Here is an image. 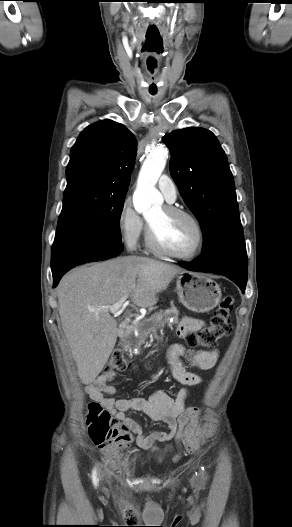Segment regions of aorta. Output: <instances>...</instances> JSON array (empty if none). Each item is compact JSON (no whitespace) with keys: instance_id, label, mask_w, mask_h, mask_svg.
<instances>
[{"instance_id":"obj_1","label":"aorta","mask_w":292,"mask_h":527,"mask_svg":"<svg viewBox=\"0 0 292 527\" xmlns=\"http://www.w3.org/2000/svg\"><path fill=\"white\" fill-rule=\"evenodd\" d=\"M167 158L168 151L163 145L154 147L147 155L133 195L134 208L138 213L147 214L163 201L155 185L165 168Z\"/></svg>"}]
</instances>
